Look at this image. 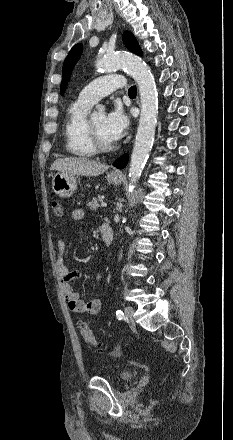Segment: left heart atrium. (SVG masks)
<instances>
[{
	"mask_svg": "<svg viewBox=\"0 0 233 440\" xmlns=\"http://www.w3.org/2000/svg\"><path fill=\"white\" fill-rule=\"evenodd\" d=\"M129 126V118L120 106H115L106 116V129L110 137L119 140Z\"/></svg>",
	"mask_w": 233,
	"mask_h": 440,
	"instance_id": "1",
	"label": "left heart atrium"
}]
</instances>
